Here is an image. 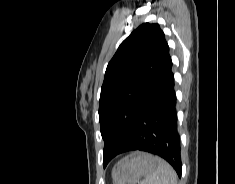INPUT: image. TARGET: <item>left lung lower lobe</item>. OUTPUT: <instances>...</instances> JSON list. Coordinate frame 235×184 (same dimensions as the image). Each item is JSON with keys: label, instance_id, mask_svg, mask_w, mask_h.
I'll return each instance as SVG.
<instances>
[{"label": "left lung lower lobe", "instance_id": "1", "mask_svg": "<svg viewBox=\"0 0 235 184\" xmlns=\"http://www.w3.org/2000/svg\"><path fill=\"white\" fill-rule=\"evenodd\" d=\"M176 95L169 47L166 45L155 81L136 118L133 131L118 154L140 150L169 162L181 177Z\"/></svg>", "mask_w": 235, "mask_h": 184}]
</instances>
